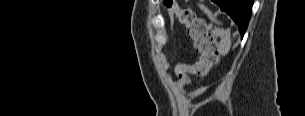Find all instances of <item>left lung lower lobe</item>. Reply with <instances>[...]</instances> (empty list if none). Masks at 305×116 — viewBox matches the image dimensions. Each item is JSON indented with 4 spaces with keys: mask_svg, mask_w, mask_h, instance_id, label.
I'll return each instance as SVG.
<instances>
[{
    "mask_svg": "<svg viewBox=\"0 0 305 116\" xmlns=\"http://www.w3.org/2000/svg\"><path fill=\"white\" fill-rule=\"evenodd\" d=\"M237 23L243 37L251 16L253 0H213Z\"/></svg>",
    "mask_w": 305,
    "mask_h": 116,
    "instance_id": "1",
    "label": "left lung lower lobe"
}]
</instances>
